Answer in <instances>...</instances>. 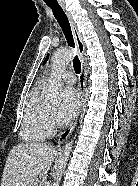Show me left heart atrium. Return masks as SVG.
Returning <instances> with one entry per match:
<instances>
[{
  "label": "left heart atrium",
  "instance_id": "obj_1",
  "mask_svg": "<svg viewBox=\"0 0 138 186\" xmlns=\"http://www.w3.org/2000/svg\"><path fill=\"white\" fill-rule=\"evenodd\" d=\"M79 107V96L74 88H66L62 92L61 107L57 119L61 124L69 122L76 114Z\"/></svg>",
  "mask_w": 138,
  "mask_h": 186
}]
</instances>
